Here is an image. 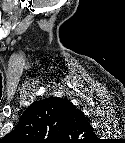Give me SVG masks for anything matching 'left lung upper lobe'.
<instances>
[{"label": "left lung upper lobe", "instance_id": "obj_1", "mask_svg": "<svg viewBox=\"0 0 125 143\" xmlns=\"http://www.w3.org/2000/svg\"><path fill=\"white\" fill-rule=\"evenodd\" d=\"M69 102L58 97L34 102L25 110L15 129L4 139L37 143L42 139L71 138L82 127L90 128L85 117L73 121L71 125L66 124V105Z\"/></svg>", "mask_w": 125, "mask_h": 143}]
</instances>
